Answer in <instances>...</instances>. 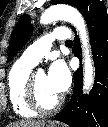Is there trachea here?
<instances>
[{"label": "trachea", "mask_w": 108, "mask_h": 127, "mask_svg": "<svg viewBox=\"0 0 108 127\" xmlns=\"http://www.w3.org/2000/svg\"><path fill=\"white\" fill-rule=\"evenodd\" d=\"M65 43L66 44H71L72 43V40H67Z\"/></svg>", "instance_id": "obj_1"}]
</instances>
